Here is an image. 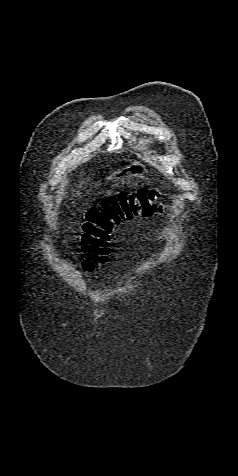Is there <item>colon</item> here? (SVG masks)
<instances>
[{
    "label": "colon",
    "mask_w": 238,
    "mask_h": 476,
    "mask_svg": "<svg viewBox=\"0 0 238 476\" xmlns=\"http://www.w3.org/2000/svg\"><path fill=\"white\" fill-rule=\"evenodd\" d=\"M162 208L159 191L150 188L106 197L90 207L81 237L84 270L91 271L108 260L110 236L116 225L124 220L152 216Z\"/></svg>",
    "instance_id": "obj_1"
}]
</instances>
